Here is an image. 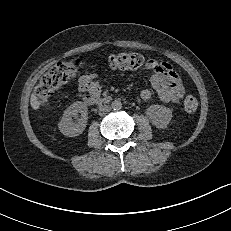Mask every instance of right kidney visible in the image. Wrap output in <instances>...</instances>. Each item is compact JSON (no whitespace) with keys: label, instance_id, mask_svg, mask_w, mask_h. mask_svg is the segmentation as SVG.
I'll return each mask as SVG.
<instances>
[{"label":"right kidney","instance_id":"ca27d5eb","mask_svg":"<svg viewBox=\"0 0 231 231\" xmlns=\"http://www.w3.org/2000/svg\"><path fill=\"white\" fill-rule=\"evenodd\" d=\"M87 111L88 108L83 102H74L70 105L63 114L61 121L58 124L60 132L68 137H75L80 135L86 128L87 125ZM81 118L76 122H73V118Z\"/></svg>","mask_w":231,"mask_h":231}]
</instances>
